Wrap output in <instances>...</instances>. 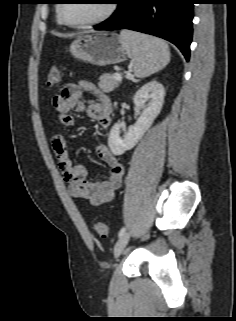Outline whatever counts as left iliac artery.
Instances as JSON below:
<instances>
[{"label": "left iliac artery", "instance_id": "44dca946", "mask_svg": "<svg viewBox=\"0 0 236 321\" xmlns=\"http://www.w3.org/2000/svg\"><path fill=\"white\" fill-rule=\"evenodd\" d=\"M125 227H123L120 231H119V234L118 236L121 237L124 233H125Z\"/></svg>", "mask_w": 236, "mask_h": 321}]
</instances>
